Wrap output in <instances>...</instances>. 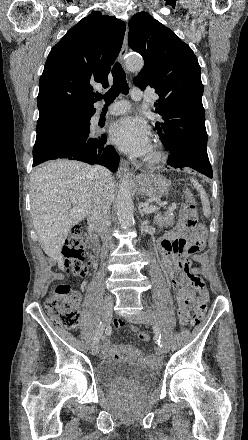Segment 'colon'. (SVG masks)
<instances>
[{"instance_id": "1", "label": "colon", "mask_w": 248, "mask_h": 440, "mask_svg": "<svg viewBox=\"0 0 248 440\" xmlns=\"http://www.w3.org/2000/svg\"><path fill=\"white\" fill-rule=\"evenodd\" d=\"M188 219L192 223L197 222V208L194 194L190 189L185 192ZM66 266L77 277H84L88 273L91 262H85V251L83 246L82 229L79 225H74L70 229L69 236L63 247ZM191 285L196 293L193 316L190 321L192 326L198 325L204 317L207 291L204 281L199 276L191 278ZM79 295L74 292L70 285L60 284L54 288L45 301V310L50 319L59 326L73 329L78 326ZM187 325V324H185ZM138 338L142 342H147L150 336L145 331L138 332Z\"/></svg>"}]
</instances>
